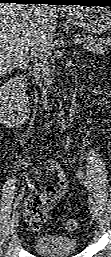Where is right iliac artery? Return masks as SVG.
<instances>
[{"label": "right iliac artery", "instance_id": "82829eb1", "mask_svg": "<svg viewBox=\"0 0 111 257\" xmlns=\"http://www.w3.org/2000/svg\"><path fill=\"white\" fill-rule=\"evenodd\" d=\"M19 199H17L16 200V202H15V204H14V207H13V216H14V214L16 213V210H17V208L19 207Z\"/></svg>", "mask_w": 111, "mask_h": 257}]
</instances>
